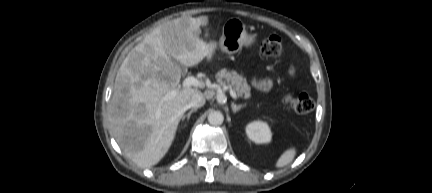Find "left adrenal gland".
Wrapping results in <instances>:
<instances>
[{
	"label": "left adrenal gland",
	"instance_id": "obj_1",
	"mask_svg": "<svg viewBox=\"0 0 432 193\" xmlns=\"http://www.w3.org/2000/svg\"><path fill=\"white\" fill-rule=\"evenodd\" d=\"M245 106H246L245 104H240V105H236L234 103L231 104V108L234 113L238 112L241 108H244Z\"/></svg>",
	"mask_w": 432,
	"mask_h": 193
}]
</instances>
